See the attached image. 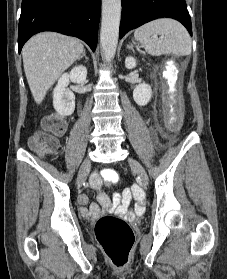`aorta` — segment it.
Listing matches in <instances>:
<instances>
[{
  "mask_svg": "<svg viewBox=\"0 0 227 279\" xmlns=\"http://www.w3.org/2000/svg\"><path fill=\"white\" fill-rule=\"evenodd\" d=\"M120 17L121 0H102L100 44L102 56L108 62L111 61L116 52Z\"/></svg>",
  "mask_w": 227,
  "mask_h": 279,
  "instance_id": "762f6f07",
  "label": "aorta"
}]
</instances>
